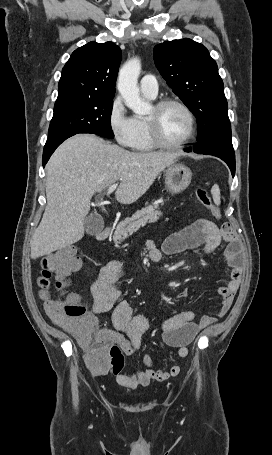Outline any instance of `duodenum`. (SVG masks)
<instances>
[{
    "instance_id": "obj_1",
    "label": "duodenum",
    "mask_w": 272,
    "mask_h": 455,
    "mask_svg": "<svg viewBox=\"0 0 272 455\" xmlns=\"http://www.w3.org/2000/svg\"><path fill=\"white\" fill-rule=\"evenodd\" d=\"M111 226H106L104 227L103 229H101L97 234H96V238L98 240H104L106 239L110 233H111Z\"/></svg>"
}]
</instances>
